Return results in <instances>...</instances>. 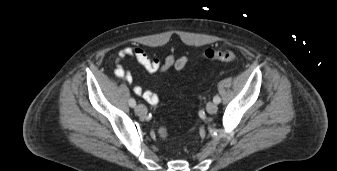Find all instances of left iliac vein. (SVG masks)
<instances>
[{
  "instance_id": "obj_1",
  "label": "left iliac vein",
  "mask_w": 337,
  "mask_h": 171,
  "mask_svg": "<svg viewBox=\"0 0 337 171\" xmlns=\"http://www.w3.org/2000/svg\"><path fill=\"white\" fill-rule=\"evenodd\" d=\"M217 109H218V107H217L216 103H213V102H209L206 106V110L209 114L216 113Z\"/></svg>"
}]
</instances>
